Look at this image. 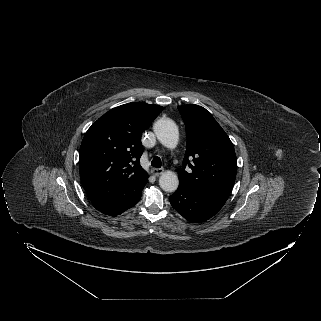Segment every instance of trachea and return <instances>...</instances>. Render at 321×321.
Segmentation results:
<instances>
[{"instance_id":"trachea-1","label":"trachea","mask_w":321,"mask_h":321,"mask_svg":"<svg viewBox=\"0 0 321 321\" xmlns=\"http://www.w3.org/2000/svg\"><path fill=\"white\" fill-rule=\"evenodd\" d=\"M151 165L156 168H160L162 165L161 159L159 157H154L151 161Z\"/></svg>"}]
</instances>
